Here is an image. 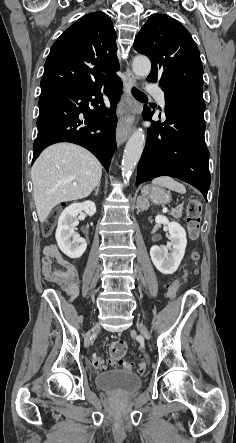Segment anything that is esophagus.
<instances>
[{
    "instance_id": "34e87169",
    "label": "esophagus",
    "mask_w": 236,
    "mask_h": 443,
    "mask_svg": "<svg viewBox=\"0 0 236 443\" xmlns=\"http://www.w3.org/2000/svg\"><path fill=\"white\" fill-rule=\"evenodd\" d=\"M126 76L127 82L124 85V90L127 95H130L132 87L136 85V77L129 68L126 69ZM134 123V112L121 116L116 130V142L118 146L122 145L128 139L133 130Z\"/></svg>"
}]
</instances>
